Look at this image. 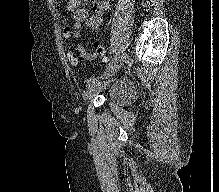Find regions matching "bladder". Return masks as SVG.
Returning <instances> with one entry per match:
<instances>
[{
    "label": "bladder",
    "instance_id": "obj_1",
    "mask_svg": "<svg viewBox=\"0 0 219 192\" xmlns=\"http://www.w3.org/2000/svg\"><path fill=\"white\" fill-rule=\"evenodd\" d=\"M134 95V89L131 84L117 83L110 86L107 93V102L110 105L123 104L128 102Z\"/></svg>",
    "mask_w": 219,
    "mask_h": 192
}]
</instances>
